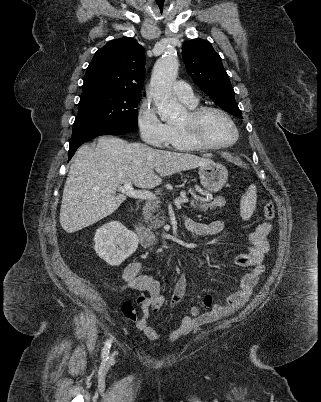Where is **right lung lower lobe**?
Returning a JSON list of instances; mask_svg holds the SVG:
<instances>
[{
  "label": "right lung lower lobe",
  "mask_w": 321,
  "mask_h": 402,
  "mask_svg": "<svg viewBox=\"0 0 321 402\" xmlns=\"http://www.w3.org/2000/svg\"><path fill=\"white\" fill-rule=\"evenodd\" d=\"M137 127H132L127 124L114 123V124H88L73 126V133L69 146V159L70 160L77 148L84 142L91 140L97 136L107 134H123L136 130Z\"/></svg>",
  "instance_id": "98d812e1"
}]
</instances>
